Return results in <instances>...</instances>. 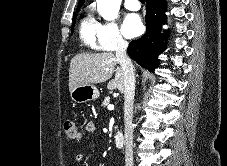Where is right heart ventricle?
Instances as JSON below:
<instances>
[{
	"label": "right heart ventricle",
	"instance_id": "e07e8e85",
	"mask_svg": "<svg viewBox=\"0 0 227 166\" xmlns=\"http://www.w3.org/2000/svg\"><path fill=\"white\" fill-rule=\"evenodd\" d=\"M99 23L91 14L85 15L79 25V35L82 43L89 49L97 51L102 49L99 37Z\"/></svg>",
	"mask_w": 227,
	"mask_h": 166
}]
</instances>
